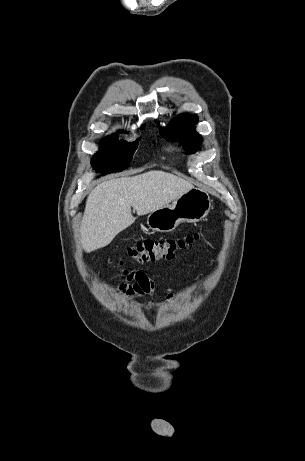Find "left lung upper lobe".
<instances>
[{"label":"left lung upper lobe","mask_w":305,"mask_h":461,"mask_svg":"<svg viewBox=\"0 0 305 461\" xmlns=\"http://www.w3.org/2000/svg\"><path fill=\"white\" fill-rule=\"evenodd\" d=\"M197 116L182 114L174 119L166 128H162L160 133L168 141H175L179 138L187 153H194L199 150L202 142L201 136L195 132Z\"/></svg>","instance_id":"5c2ea615"}]
</instances>
